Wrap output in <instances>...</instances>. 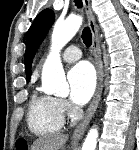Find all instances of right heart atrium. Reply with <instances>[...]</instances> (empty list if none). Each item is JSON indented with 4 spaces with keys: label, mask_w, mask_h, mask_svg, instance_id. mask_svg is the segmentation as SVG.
I'll list each match as a JSON object with an SVG mask.
<instances>
[{
    "label": "right heart atrium",
    "mask_w": 139,
    "mask_h": 150,
    "mask_svg": "<svg viewBox=\"0 0 139 150\" xmlns=\"http://www.w3.org/2000/svg\"><path fill=\"white\" fill-rule=\"evenodd\" d=\"M59 104L63 112H71V107L68 105V103L64 100H59Z\"/></svg>",
    "instance_id": "1"
}]
</instances>
